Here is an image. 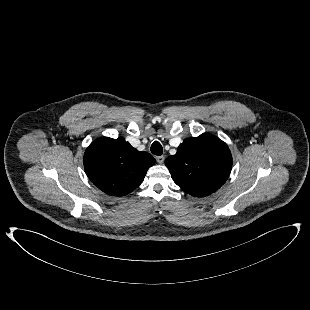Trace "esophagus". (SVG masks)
<instances>
[{
	"label": "esophagus",
	"mask_w": 310,
	"mask_h": 310,
	"mask_svg": "<svg viewBox=\"0 0 310 310\" xmlns=\"http://www.w3.org/2000/svg\"><path fill=\"white\" fill-rule=\"evenodd\" d=\"M156 161L159 163V164H162L164 162V156H157L156 157Z\"/></svg>",
	"instance_id": "1"
}]
</instances>
